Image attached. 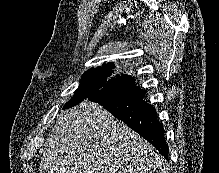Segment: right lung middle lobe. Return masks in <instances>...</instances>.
I'll use <instances>...</instances> for the list:
<instances>
[{"label":"right lung middle lobe","mask_w":219,"mask_h":173,"mask_svg":"<svg viewBox=\"0 0 219 173\" xmlns=\"http://www.w3.org/2000/svg\"><path fill=\"white\" fill-rule=\"evenodd\" d=\"M127 77L128 75L118 73L112 62L103 64L102 67L91 68L82 75L80 86L63 109L73 107L93 95L111 94L119 91Z\"/></svg>","instance_id":"right-lung-middle-lobe-1"}]
</instances>
